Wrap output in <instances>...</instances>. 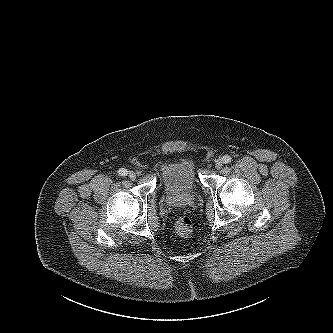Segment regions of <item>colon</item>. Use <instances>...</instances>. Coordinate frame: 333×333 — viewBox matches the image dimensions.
Listing matches in <instances>:
<instances>
[{"mask_svg":"<svg viewBox=\"0 0 333 333\" xmlns=\"http://www.w3.org/2000/svg\"><path fill=\"white\" fill-rule=\"evenodd\" d=\"M175 229L178 234L183 236L191 234L193 230L192 220L188 216L185 215L180 216L176 221Z\"/></svg>","mask_w":333,"mask_h":333,"instance_id":"colon-1","label":"colon"}]
</instances>
